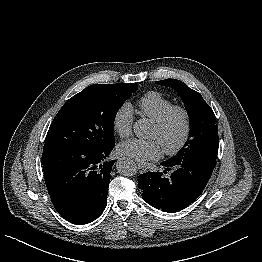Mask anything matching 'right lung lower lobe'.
I'll return each instance as SVG.
<instances>
[{
  "label": "right lung lower lobe",
  "mask_w": 262,
  "mask_h": 262,
  "mask_svg": "<svg viewBox=\"0 0 262 262\" xmlns=\"http://www.w3.org/2000/svg\"><path fill=\"white\" fill-rule=\"evenodd\" d=\"M114 145L101 149L44 146L42 160L47 190L55 209L67 221L87 224L104 211L110 172L116 161L106 159Z\"/></svg>",
  "instance_id": "obj_1"
}]
</instances>
